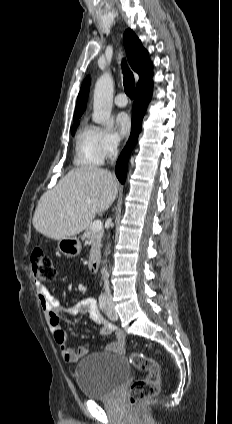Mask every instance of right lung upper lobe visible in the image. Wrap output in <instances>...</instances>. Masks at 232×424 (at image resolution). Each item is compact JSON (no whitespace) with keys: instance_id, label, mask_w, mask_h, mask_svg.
Listing matches in <instances>:
<instances>
[{"instance_id":"right-lung-upper-lobe-1","label":"right lung upper lobe","mask_w":232,"mask_h":424,"mask_svg":"<svg viewBox=\"0 0 232 424\" xmlns=\"http://www.w3.org/2000/svg\"><path fill=\"white\" fill-rule=\"evenodd\" d=\"M123 42L129 63L132 69L139 74V81L136 88L150 83L152 81V62L149 60L148 52L143 48L141 41L131 29H128L124 33ZM89 87L90 79L87 77L81 86L77 98L74 118H79L86 108Z\"/></svg>"}]
</instances>
